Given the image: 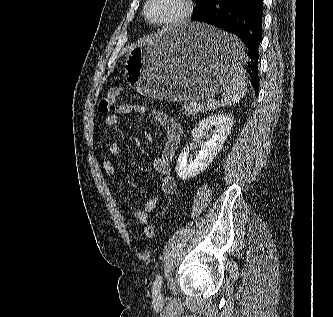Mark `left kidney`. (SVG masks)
Segmentation results:
<instances>
[{
  "label": "left kidney",
  "instance_id": "5707ae66",
  "mask_svg": "<svg viewBox=\"0 0 333 317\" xmlns=\"http://www.w3.org/2000/svg\"><path fill=\"white\" fill-rule=\"evenodd\" d=\"M234 119L228 114H215L202 119L191 134L193 137L210 131L208 140L200 145L195 158H189V147L182 149L176 164V173L183 179H190L203 172L214 160L225 143Z\"/></svg>",
  "mask_w": 333,
  "mask_h": 317
}]
</instances>
